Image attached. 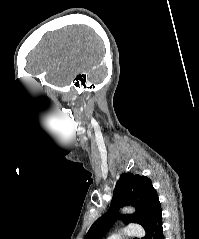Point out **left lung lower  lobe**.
I'll list each match as a JSON object with an SVG mask.
<instances>
[{"label":"left lung lower lobe","instance_id":"left-lung-lower-lobe-1","mask_svg":"<svg viewBox=\"0 0 199 239\" xmlns=\"http://www.w3.org/2000/svg\"><path fill=\"white\" fill-rule=\"evenodd\" d=\"M144 229L146 235L142 239H164L161 210L155 214L150 223Z\"/></svg>","mask_w":199,"mask_h":239}]
</instances>
